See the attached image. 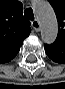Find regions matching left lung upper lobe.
<instances>
[{
	"mask_svg": "<svg viewBox=\"0 0 65 89\" xmlns=\"http://www.w3.org/2000/svg\"><path fill=\"white\" fill-rule=\"evenodd\" d=\"M52 5L58 20V41L65 42V0H48Z\"/></svg>",
	"mask_w": 65,
	"mask_h": 89,
	"instance_id": "5c2ea615",
	"label": "left lung upper lobe"
}]
</instances>
